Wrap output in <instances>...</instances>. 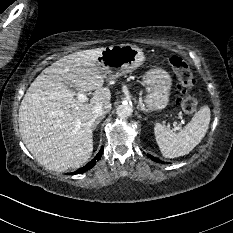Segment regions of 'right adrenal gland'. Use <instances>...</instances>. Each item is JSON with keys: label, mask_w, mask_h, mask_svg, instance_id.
Returning <instances> with one entry per match:
<instances>
[{"label": "right adrenal gland", "mask_w": 233, "mask_h": 233, "mask_svg": "<svg viewBox=\"0 0 233 233\" xmlns=\"http://www.w3.org/2000/svg\"><path fill=\"white\" fill-rule=\"evenodd\" d=\"M104 117H100L97 120L94 121L93 123V129H96L97 125L100 123V121L103 119Z\"/></svg>", "instance_id": "2a0ac1e0"}]
</instances>
